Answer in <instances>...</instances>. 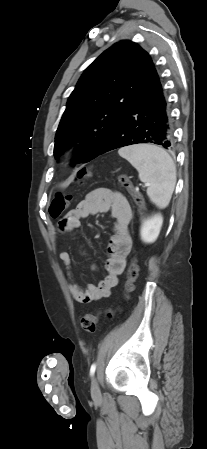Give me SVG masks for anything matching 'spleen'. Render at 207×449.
<instances>
[{"label": "spleen", "mask_w": 207, "mask_h": 449, "mask_svg": "<svg viewBox=\"0 0 207 449\" xmlns=\"http://www.w3.org/2000/svg\"><path fill=\"white\" fill-rule=\"evenodd\" d=\"M119 155L129 161L142 182L149 184L147 195L159 208H165L176 184V167L170 155L151 144H137L119 149Z\"/></svg>", "instance_id": "1"}]
</instances>
